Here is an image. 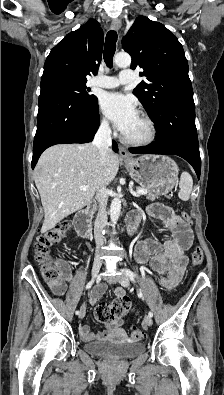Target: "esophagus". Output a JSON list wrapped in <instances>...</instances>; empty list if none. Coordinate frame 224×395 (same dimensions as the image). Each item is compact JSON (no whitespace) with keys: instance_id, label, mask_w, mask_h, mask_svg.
I'll return each instance as SVG.
<instances>
[{"instance_id":"1","label":"esophagus","mask_w":224,"mask_h":395,"mask_svg":"<svg viewBox=\"0 0 224 395\" xmlns=\"http://www.w3.org/2000/svg\"><path fill=\"white\" fill-rule=\"evenodd\" d=\"M121 25H122V24H121V21H120L119 19L113 20V21H112V24H111V28L114 29V30H116V31H118V30H120ZM119 156H120L121 159H130L129 153H128L127 150H126L124 147H122V146L119 147Z\"/></svg>"}]
</instances>
